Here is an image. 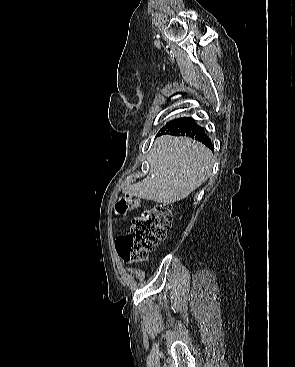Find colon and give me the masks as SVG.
Returning a JSON list of instances; mask_svg holds the SVG:
<instances>
[{
  "label": "colon",
  "instance_id": "5ec220e1",
  "mask_svg": "<svg viewBox=\"0 0 295 367\" xmlns=\"http://www.w3.org/2000/svg\"><path fill=\"white\" fill-rule=\"evenodd\" d=\"M139 206V200L122 197L115 205L118 214L128 213ZM173 215L168 205L157 204L131 219L130 230L116 241L119 256L127 262H143L166 237Z\"/></svg>",
  "mask_w": 295,
  "mask_h": 367
}]
</instances>
